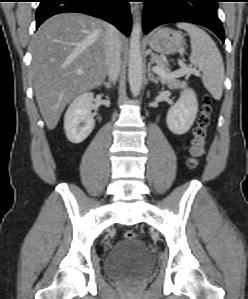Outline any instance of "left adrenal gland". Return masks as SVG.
I'll use <instances>...</instances> for the list:
<instances>
[{
	"mask_svg": "<svg viewBox=\"0 0 248 299\" xmlns=\"http://www.w3.org/2000/svg\"><path fill=\"white\" fill-rule=\"evenodd\" d=\"M148 79L153 81L155 84L158 83V80L155 78L154 74L151 72V62L148 63Z\"/></svg>",
	"mask_w": 248,
	"mask_h": 299,
	"instance_id": "left-adrenal-gland-1",
	"label": "left adrenal gland"
}]
</instances>
